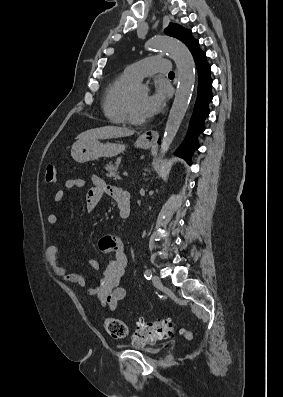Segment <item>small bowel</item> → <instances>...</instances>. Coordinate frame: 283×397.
I'll return each instance as SVG.
<instances>
[{
  "label": "small bowel",
  "mask_w": 283,
  "mask_h": 397,
  "mask_svg": "<svg viewBox=\"0 0 283 397\" xmlns=\"http://www.w3.org/2000/svg\"><path fill=\"white\" fill-rule=\"evenodd\" d=\"M85 185L83 178L68 179L65 182V188L74 189L82 188ZM104 194L109 195L113 200L119 202L126 194L122 189L106 184L98 175L91 176V187L86 195V208L88 212H93L100 203ZM65 197L63 190H57L54 195V201L60 203ZM50 225H56L59 218L56 214L51 213L47 217ZM99 249L110 258L102 269V278L98 283L87 289V293L96 296L102 308L114 311L118 303L128 298L129 292L121 286V279L127 266V255L124 245L120 238L114 235H107L99 240ZM59 247L51 244L46 248L45 257L53 273L64 282L72 283L80 288H86L87 283L84 276L78 273L68 272V270L59 264ZM88 264L93 269H99L100 264L95 259H89Z\"/></svg>",
  "instance_id": "1"
}]
</instances>
